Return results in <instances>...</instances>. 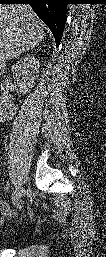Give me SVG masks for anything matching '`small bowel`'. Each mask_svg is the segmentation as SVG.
<instances>
[{
	"label": "small bowel",
	"instance_id": "obj_1",
	"mask_svg": "<svg viewBox=\"0 0 106 257\" xmlns=\"http://www.w3.org/2000/svg\"><path fill=\"white\" fill-rule=\"evenodd\" d=\"M7 216V210L5 209L4 206H2V209H1V218H5Z\"/></svg>",
	"mask_w": 106,
	"mask_h": 257
}]
</instances>
